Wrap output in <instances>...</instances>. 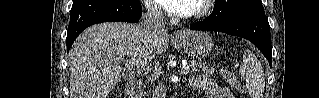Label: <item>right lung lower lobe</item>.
Masks as SVG:
<instances>
[{
	"instance_id": "obj_1",
	"label": "right lung lower lobe",
	"mask_w": 319,
	"mask_h": 98,
	"mask_svg": "<svg viewBox=\"0 0 319 98\" xmlns=\"http://www.w3.org/2000/svg\"><path fill=\"white\" fill-rule=\"evenodd\" d=\"M142 7L138 0H74L67 31V52L88 26L101 22H138Z\"/></svg>"
}]
</instances>
